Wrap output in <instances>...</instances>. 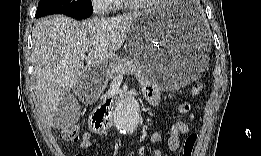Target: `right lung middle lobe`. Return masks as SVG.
<instances>
[{
  "instance_id": "obj_1",
  "label": "right lung middle lobe",
  "mask_w": 261,
  "mask_h": 156,
  "mask_svg": "<svg viewBox=\"0 0 261 156\" xmlns=\"http://www.w3.org/2000/svg\"><path fill=\"white\" fill-rule=\"evenodd\" d=\"M77 11L93 12L90 0H40L36 12V18L51 13H63L72 15Z\"/></svg>"
}]
</instances>
